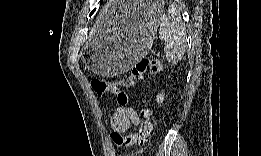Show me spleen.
Here are the masks:
<instances>
[{
  "mask_svg": "<svg viewBox=\"0 0 261 156\" xmlns=\"http://www.w3.org/2000/svg\"><path fill=\"white\" fill-rule=\"evenodd\" d=\"M159 38L165 41L166 59L172 64L180 61L186 51V34L180 12L174 5L168 9V15H160Z\"/></svg>",
  "mask_w": 261,
  "mask_h": 156,
  "instance_id": "1",
  "label": "spleen"
}]
</instances>
